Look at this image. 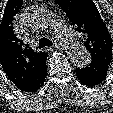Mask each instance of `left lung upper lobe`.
<instances>
[{
    "label": "left lung upper lobe",
    "mask_w": 113,
    "mask_h": 113,
    "mask_svg": "<svg viewBox=\"0 0 113 113\" xmlns=\"http://www.w3.org/2000/svg\"><path fill=\"white\" fill-rule=\"evenodd\" d=\"M67 14L76 31L83 33L84 45L92 58L110 64L112 38L92 0H55Z\"/></svg>",
    "instance_id": "obj_1"
}]
</instances>
